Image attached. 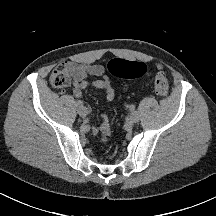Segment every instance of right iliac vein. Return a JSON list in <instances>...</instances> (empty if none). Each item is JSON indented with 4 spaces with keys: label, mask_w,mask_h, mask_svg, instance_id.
Returning a JSON list of instances; mask_svg holds the SVG:
<instances>
[{
    "label": "right iliac vein",
    "mask_w": 216,
    "mask_h": 216,
    "mask_svg": "<svg viewBox=\"0 0 216 216\" xmlns=\"http://www.w3.org/2000/svg\"><path fill=\"white\" fill-rule=\"evenodd\" d=\"M78 114H79L81 117H86L87 114H88L87 108L84 107V106L79 107V109H78Z\"/></svg>",
    "instance_id": "right-iliac-vein-1"
}]
</instances>
